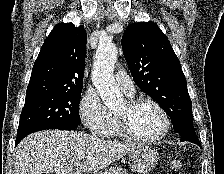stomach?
<instances>
[{
	"label": "stomach",
	"instance_id": "obj_1",
	"mask_svg": "<svg viewBox=\"0 0 224 174\" xmlns=\"http://www.w3.org/2000/svg\"><path fill=\"white\" fill-rule=\"evenodd\" d=\"M158 152L149 145H140L128 158V163L132 171L138 174H146L158 163Z\"/></svg>",
	"mask_w": 224,
	"mask_h": 174
}]
</instances>
